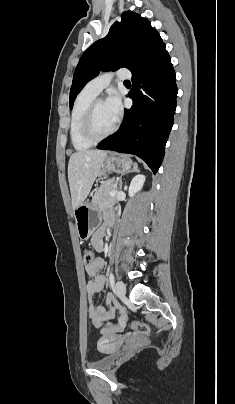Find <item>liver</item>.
Segmentation results:
<instances>
[{"label": "liver", "instance_id": "liver-1", "mask_svg": "<svg viewBox=\"0 0 235 404\" xmlns=\"http://www.w3.org/2000/svg\"><path fill=\"white\" fill-rule=\"evenodd\" d=\"M106 157L107 152L102 150L78 151L70 156L68 181L73 210L84 203Z\"/></svg>", "mask_w": 235, "mask_h": 404}]
</instances>
